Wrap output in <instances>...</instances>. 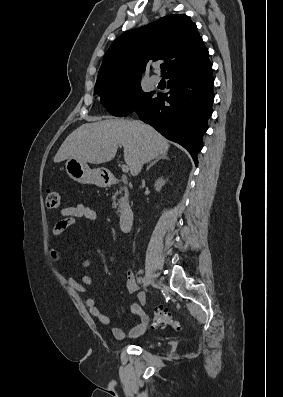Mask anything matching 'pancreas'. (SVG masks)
Wrapping results in <instances>:
<instances>
[{
  "label": "pancreas",
  "mask_w": 283,
  "mask_h": 397,
  "mask_svg": "<svg viewBox=\"0 0 283 397\" xmlns=\"http://www.w3.org/2000/svg\"><path fill=\"white\" fill-rule=\"evenodd\" d=\"M122 190L125 191V194H124V197L120 199V202H123V201H127V200H128V190H127V187L121 188L119 192H116V193H115V196L118 195V194H120V193L122 192Z\"/></svg>",
  "instance_id": "obj_1"
}]
</instances>
